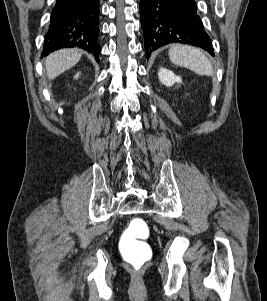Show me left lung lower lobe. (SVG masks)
Segmentation results:
<instances>
[{
  "label": "left lung lower lobe",
  "mask_w": 267,
  "mask_h": 301,
  "mask_svg": "<svg viewBox=\"0 0 267 301\" xmlns=\"http://www.w3.org/2000/svg\"><path fill=\"white\" fill-rule=\"evenodd\" d=\"M146 57L168 43L191 44L214 56L194 0H140Z\"/></svg>",
  "instance_id": "left-lung-lower-lobe-1"
}]
</instances>
